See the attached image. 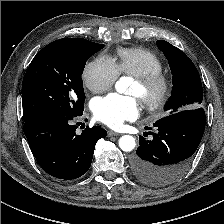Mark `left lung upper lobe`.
Returning a JSON list of instances; mask_svg holds the SVG:
<instances>
[{
  "instance_id": "left-lung-upper-lobe-1",
  "label": "left lung upper lobe",
  "mask_w": 224,
  "mask_h": 224,
  "mask_svg": "<svg viewBox=\"0 0 224 224\" xmlns=\"http://www.w3.org/2000/svg\"><path fill=\"white\" fill-rule=\"evenodd\" d=\"M158 48L166 56L173 75L172 95L165 105L169 114L202 106L201 79L193 62L180 49L158 40Z\"/></svg>"
}]
</instances>
